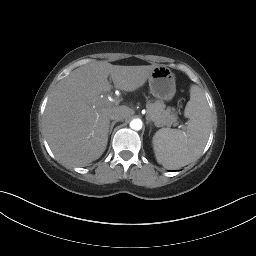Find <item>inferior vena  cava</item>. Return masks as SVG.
Masks as SVG:
<instances>
[{"mask_svg": "<svg viewBox=\"0 0 256 256\" xmlns=\"http://www.w3.org/2000/svg\"><path fill=\"white\" fill-rule=\"evenodd\" d=\"M110 119L111 120H115V121H121L123 120V116L122 114L119 112V111H113L111 114H110Z\"/></svg>", "mask_w": 256, "mask_h": 256, "instance_id": "obj_1", "label": "inferior vena cava"}]
</instances>
